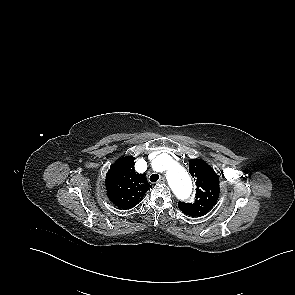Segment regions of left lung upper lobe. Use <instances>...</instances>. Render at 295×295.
I'll return each mask as SVG.
<instances>
[{
  "instance_id": "1",
  "label": "left lung upper lobe",
  "mask_w": 295,
  "mask_h": 295,
  "mask_svg": "<svg viewBox=\"0 0 295 295\" xmlns=\"http://www.w3.org/2000/svg\"><path fill=\"white\" fill-rule=\"evenodd\" d=\"M189 173L196 181V196L193 203L178 202L179 209L191 217H200L209 212L218 200L219 178L203 160H189Z\"/></svg>"
}]
</instances>
